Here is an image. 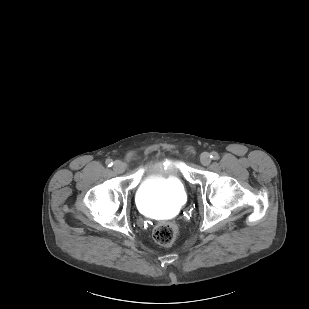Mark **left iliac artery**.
Here are the masks:
<instances>
[{"instance_id":"obj_1","label":"left iliac artery","mask_w":309,"mask_h":309,"mask_svg":"<svg viewBox=\"0 0 309 309\" xmlns=\"http://www.w3.org/2000/svg\"><path fill=\"white\" fill-rule=\"evenodd\" d=\"M210 158H212L213 160H217L219 158V155L217 152H212Z\"/></svg>"}]
</instances>
